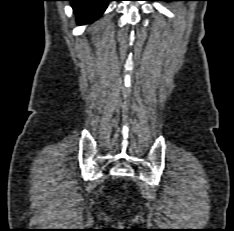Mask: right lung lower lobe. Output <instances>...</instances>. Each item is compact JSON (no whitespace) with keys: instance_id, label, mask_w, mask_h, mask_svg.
I'll return each mask as SVG.
<instances>
[{"instance_id":"right-lung-lower-lobe-1","label":"right lung lower lobe","mask_w":234,"mask_h":231,"mask_svg":"<svg viewBox=\"0 0 234 231\" xmlns=\"http://www.w3.org/2000/svg\"><path fill=\"white\" fill-rule=\"evenodd\" d=\"M72 3L79 24L90 23L97 19L111 0H68Z\"/></svg>"}]
</instances>
